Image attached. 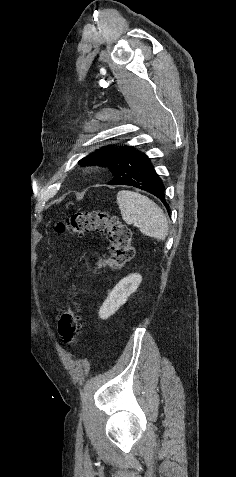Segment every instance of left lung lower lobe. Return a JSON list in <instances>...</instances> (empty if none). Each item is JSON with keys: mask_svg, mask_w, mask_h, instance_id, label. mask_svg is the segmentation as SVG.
<instances>
[{"mask_svg": "<svg viewBox=\"0 0 236 477\" xmlns=\"http://www.w3.org/2000/svg\"><path fill=\"white\" fill-rule=\"evenodd\" d=\"M118 185L133 186L153 194L164 203L169 212V205L164 195V184L155 172L147 155L142 154L136 160L130 175Z\"/></svg>", "mask_w": 236, "mask_h": 477, "instance_id": "obj_1", "label": "left lung lower lobe"}]
</instances>
